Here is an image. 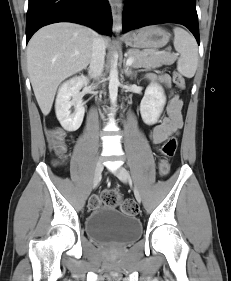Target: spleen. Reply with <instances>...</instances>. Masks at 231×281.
Returning a JSON list of instances; mask_svg holds the SVG:
<instances>
[{"label":"spleen","instance_id":"1","mask_svg":"<svg viewBox=\"0 0 231 281\" xmlns=\"http://www.w3.org/2000/svg\"><path fill=\"white\" fill-rule=\"evenodd\" d=\"M174 47L180 57L177 70L187 78H192L198 66V46L195 38L180 27L174 28Z\"/></svg>","mask_w":231,"mask_h":281}]
</instances>
